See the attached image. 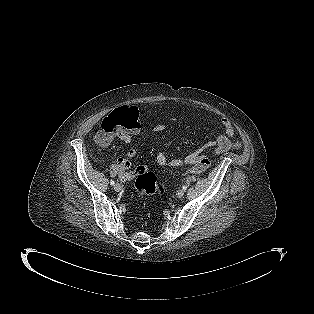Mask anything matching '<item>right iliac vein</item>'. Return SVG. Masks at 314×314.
Returning a JSON list of instances; mask_svg holds the SVG:
<instances>
[{
  "label": "right iliac vein",
  "instance_id": "right-iliac-vein-1",
  "mask_svg": "<svg viewBox=\"0 0 314 314\" xmlns=\"http://www.w3.org/2000/svg\"><path fill=\"white\" fill-rule=\"evenodd\" d=\"M121 189H122V187H121V185H120L119 183H116V184L114 185V190H115L116 192L121 191Z\"/></svg>",
  "mask_w": 314,
  "mask_h": 314
}]
</instances>
